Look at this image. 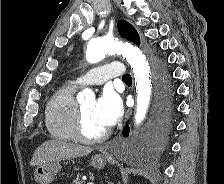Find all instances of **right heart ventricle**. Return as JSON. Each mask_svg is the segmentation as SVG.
I'll return each instance as SVG.
<instances>
[{
  "mask_svg": "<svg viewBox=\"0 0 224 184\" xmlns=\"http://www.w3.org/2000/svg\"><path fill=\"white\" fill-rule=\"evenodd\" d=\"M72 84L58 88L45 109V124L50 135L62 141H75L74 118L77 102Z\"/></svg>",
  "mask_w": 224,
  "mask_h": 184,
  "instance_id": "obj_1",
  "label": "right heart ventricle"
}]
</instances>
